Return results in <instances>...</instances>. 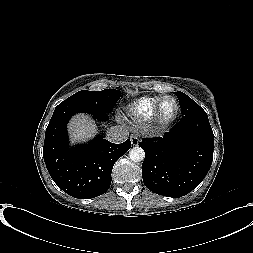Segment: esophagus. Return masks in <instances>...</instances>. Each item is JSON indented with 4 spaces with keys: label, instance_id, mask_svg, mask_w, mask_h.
<instances>
[{
    "label": "esophagus",
    "instance_id": "obj_1",
    "mask_svg": "<svg viewBox=\"0 0 253 253\" xmlns=\"http://www.w3.org/2000/svg\"><path fill=\"white\" fill-rule=\"evenodd\" d=\"M130 141L132 146H137L139 144V138L136 135H131Z\"/></svg>",
    "mask_w": 253,
    "mask_h": 253
}]
</instances>
